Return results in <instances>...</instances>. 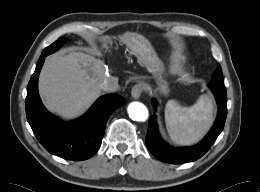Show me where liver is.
I'll return each instance as SVG.
<instances>
[{
  "label": "liver",
  "mask_w": 260,
  "mask_h": 192,
  "mask_svg": "<svg viewBox=\"0 0 260 192\" xmlns=\"http://www.w3.org/2000/svg\"><path fill=\"white\" fill-rule=\"evenodd\" d=\"M98 41L101 49H107L111 42L108 36ZM146 68L152 73L160 71L156 63ZM107 78L102 60L83 52L62 51L46 58L39 76V92L50 111L71 117L96 99Z\"/></svg>",
  "instance_id": "1"
}]
</instances>
